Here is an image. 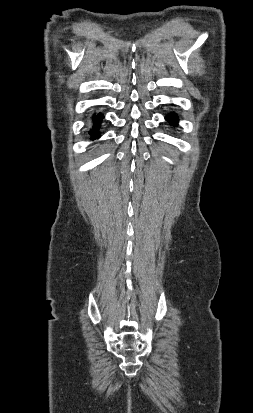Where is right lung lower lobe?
<instances>
[{
    "label": "right lung lower lobe",
    "mask_w": 253,
    "mask_h": 413,
    "mask_svg": "<svg viewBox=\"0 0 253 413\" xmlns=\"http://www.w3.org/2000/svg\"><path fill=\"white\" fill-rule=\"evenodd\" d=\"M93 119V127L92 129L89 131V134L91 135V139H96L100 137V132L98 131L101 121L103 119V115L101 113L99 114H93L92 116Z\"/></svg>",
    "instance_id": "obj_1"
}]
</instances>
